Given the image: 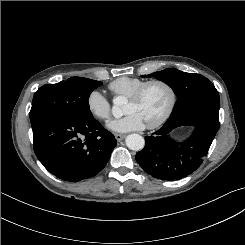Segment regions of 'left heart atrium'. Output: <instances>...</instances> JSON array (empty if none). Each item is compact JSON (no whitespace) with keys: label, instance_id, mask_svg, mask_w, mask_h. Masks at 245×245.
Instances as JSON below:
<instances>
[{"label":"left heart atrium","instance_id":"left-heart-atrium-1","mask_svg":"<svg viewBox=\"0 0 245 245\" xmlns=\"http://www.w3.org/2000/svg\"><path fill=\"white\" fill-rule=\"evenodd\" d=\"M108 127L115 132H129L142 130L145 127V123L136 113H129L110 121Z\"/></svg>","mask_w":245,"mask_h":245}]
</instances>
